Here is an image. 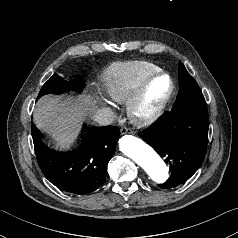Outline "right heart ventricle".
<instances>
[{"label": "right heart ventricle", "instance_id": "e07e8e85", "mask_svg": "<svg viewBox=\"0 0 238 238\" xmlns=\"http://www.w3.org/2000/svg\"><path fill=\"white\" fill-rule=\"evenodd\" d=\"M159 67L147 61L113 63L101 74L100 80L106 95L115 103L129 101L141 83Z\"/></svg>", "mask_w": 238, "mask_h": 238}]
</instances>
